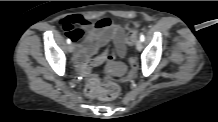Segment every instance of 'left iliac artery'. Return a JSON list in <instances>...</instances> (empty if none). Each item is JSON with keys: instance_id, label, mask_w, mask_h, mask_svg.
<instances>
[{"instance_id": "left-iliac-artery-1", "label": "left iliac artery", "mask_w": 218, "mask_h": 122, "mask_svg": "<svg viewBox=\"0 0 218 122\" xmlns=\"http://www.w3.org/2000/svg\"><path fill=\"white\" fill-rule=\"evenodd\" d=\"M140 40L143 42L145 40V36L143 34L140 35Z\"/></svg>"}]
</instances>
